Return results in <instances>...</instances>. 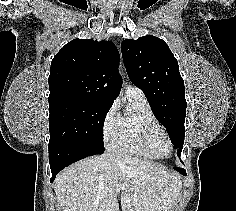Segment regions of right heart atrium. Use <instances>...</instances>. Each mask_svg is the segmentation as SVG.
<instances>
[{
  "label": "right heart atrium",
  "instance_id": "d8ad5b80",
  "mask_svg": "<svg viewBox=\"0 0 236 211\" xmlns=\"http://www.w3.org/2000/svg\"><path fill=\"white\" fill-rule=\"evenodd\" d=\"M117 117L118 114L116 105L112 104L105 112L101 122V134L105 145H109L115 134Z\"/></svg>",
  "mask_w": 236,
  "mask_h": 211
}]
</instances>
